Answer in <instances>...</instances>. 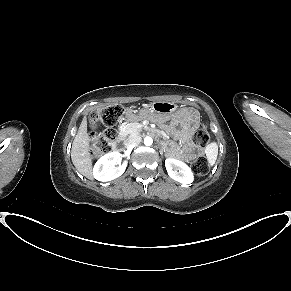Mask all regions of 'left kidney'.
Returning a JSON list of instances; mask_svg holds the SVG:
<instances>
[{
	"mask_svg": "<svg viewBox=\"0 0 291 291\" xmlns=\"http://www.w3.org/2000/svg\"><path fill=\"white\" fill-rule=\"evenodd\" d=\"M165 167L170 178L182 184H190L194 180L193 173L189 166L184 162L167 158L165 160Z\"/></svg>",
	"mask_w": 291,
	"mask_h": 291,
	"instance_id": "obj_1",
	"label": "left kidney"
}]
</instances>
